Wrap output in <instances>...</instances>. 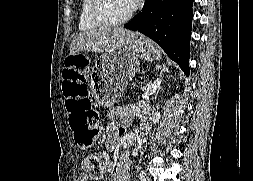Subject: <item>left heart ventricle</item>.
<instances>
[{"label": "left heart ventricle", "mask_w": 253, "mask_h": 181, "mask_svg": "<svg viewBox=\"0 0 253 181\" xmlns=\"http://www.w3.org/2000/svg\"><path fill=\"white\" fill-rule=\"evenodd\" d=\"M104 10L110 19L119 20L126 16L132 8L128 0H106Z\"/></svg>", "instance_id": "left-heart-ventricle-1"}]
</instances>
